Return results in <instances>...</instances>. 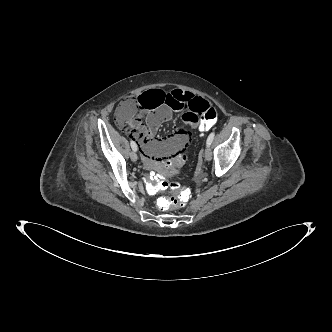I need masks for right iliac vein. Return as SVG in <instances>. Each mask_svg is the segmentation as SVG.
I'll list each match as a JSON object with an SVG mask.
<instances>
[{"label":"right iliac vein","instance_id":"obj_1","mask_svg":"<svg viewBox=\"0 0 332 332\" xmlns=\"http://www.w3.org/2000/svg\"><path fill=\"white\" fill-rule=\"evenodd\" d=\"M130 158H131V160H132L133 162L137 161L138 156H137V154H136L135 151H132V152L130 153Z\"/></svg>","mask_w":332,"mask_h":332}]
</instances>
